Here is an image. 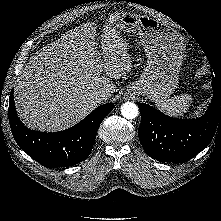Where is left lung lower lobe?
Segmentation results:
<instances>
[{
	"label": "left lung lower lobe",
	"instance_id": "1",
	"mask_svg": "<svg viewBox=\"0 0 221 221\" xmlns=\"http://www.w3.org/2000/svg\"><path fill=\"white\" fill-rule=\"evenodd\" d=\"M213 98L197 119H176L150 105L137 103L141 113L139 140L150 157L161 162L185 163L211 142L221 127V82L213 77Z\"/></svg>",
	"mask_w": 221,
	"mask_h": 221
}]
</instances>
